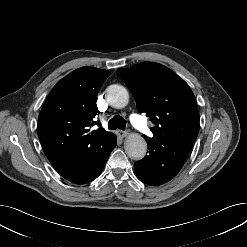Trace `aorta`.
<instances>
[{"instance_id":"aorta-1","label":"aorta","mask_w":247,"mask_h":247,"mask_svg":"<svg viewBox=\"0 0 247 247\" xmlns=\"http://www.w3.org/2000/svg\"><path fill=\"white\" fill-rule=\"evenodd\" d=\"M106 99L112 107L121 109L128 104L129 93L125 87L114 84L107 88ZM124 148L131 159L140 160L146 155L147 143L141 135L131 134L125 140Z\"/></svg>"}]
</instances>
